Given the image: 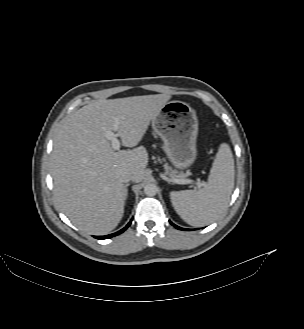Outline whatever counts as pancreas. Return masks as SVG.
<instances>
[{
  "label": "pancreas",
  "instance_id": "pancreas-1",
  "mask_svg": "<svg viewBox=\"0 0 304 329\" xmlns=\"http://www.w3.org/2000/svg\"><path fill=\"white\" fill-rule=\"evenodd\" d=\"M164 168H165V173L172 178L183 179L184 177H186V174L178 173L176 170H172L171 167H169L167 164L164 165Z\"/></svg>",
  "mask_w": 304,
  "mask_h": 329
}]
</instances>
